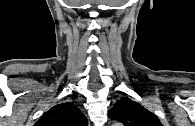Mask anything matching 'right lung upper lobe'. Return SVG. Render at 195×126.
Segmentation results:
<instances>
[{
	"label": "right lung upper lobe",
	"instance_id": "1",
	"mask_svg": "<svg viewBox=\"0 0 195 126\" xmlns=\"http://www.w3.org/2000/svg\"><path fill=\"white\" fill-rule=\"evenodd\" d=\"M85 115L72 103L65 102L52 107L34 126H87Z\"/></svg>",
	"mask_w": 195,
	"mask_h": 126
}]
</instances>
